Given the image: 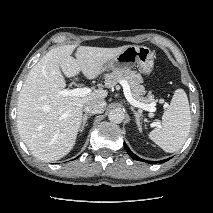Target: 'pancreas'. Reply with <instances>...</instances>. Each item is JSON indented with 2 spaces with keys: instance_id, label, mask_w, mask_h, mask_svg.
<instances>
[{
  "instance_id": "pancreas-1",
  "label": "pancreas",
  "mask_w": 213,
  "mask_h": 213,
  "mask_svg": "<svg viewBox=\"0 0 213 213\" xmlns=\"http://www.w3.org/2000/svg\"><path fill=\"white\" fill-rule=\"evenodd\" d=\"M105 86L107 88L114 87L119 81L124 80L129 84L130 91L135 100L142 103H153L154 95L151 93L147 97H143L145 94V89L143 85H140L142 82V77L139 73L134 70H121L113 71L112 73L106 74L104 76Z\"/></svg>"
}]
</instances>
